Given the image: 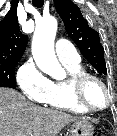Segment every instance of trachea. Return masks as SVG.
Listing matches in <instances>:
<instances>
[{
  "label": "trachea",
  "mask_w": 117,
  "mask_h": 136,
  "mask_svg": "<svg viewBox=\"0 0 117 136\" xmlns=\"http://www.w3.org/2000/svg\"><path fill=\"white\" fill-rule=\"evenodd\" d=\"M32 4L37 8H41L44 5V0H32Z\"/></svg>",
  "instance_id": "trachea-1"
}]
</instances>
